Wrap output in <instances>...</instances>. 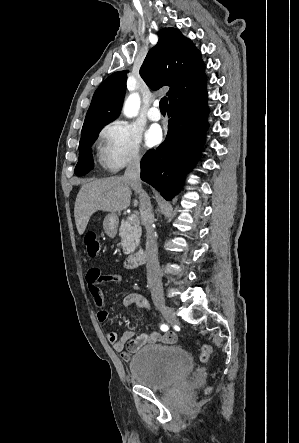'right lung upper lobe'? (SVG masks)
Segmentation results:
<instances>
[{"label":"right lung upper lobe","instance_id":"cb5924a9","mask_svg":"<svg viewBox=\"0 0 299 443\" xmlns=\"http://www.w3.org/2000/svg\"><path fill=\"white\" fill-rule=\"evenodd\" d=\"M200 52L192 42L174 28H163L159 41L148 52L140 75L153 90L170 86L169 101L204 76ZM127 71L110 75L95 91L81 135L103 127L120 113L126 91Z\"/></svg>","mask_w":299,"mask_h":443}]
</instances>
